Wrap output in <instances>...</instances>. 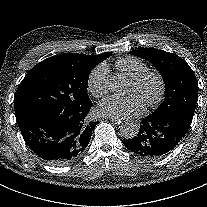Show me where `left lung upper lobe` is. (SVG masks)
<instances>
[{
    "label": "left lung upper lobe",
    "mask_w": 207,
    "mask_h": 207,
    "mask_svg": "<svg viewBox=\"0 0 207 207\" xmlns=\"http://www.w3.org/2000/svg\"><path fill=\"white\" fill-rule=\"evenodd\" d=\"M151 62L163 77L165 99L152 115L175 114L192 122L198 100V82L193 70L178 55L142 48L130 52Z\"/></svg>",
    "instance_id": "1"
}]
</instances>
